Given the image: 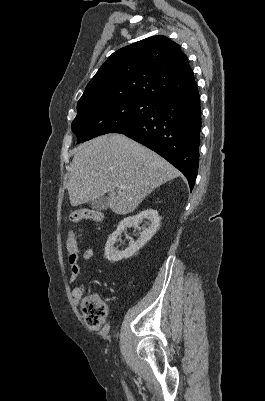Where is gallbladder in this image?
<instances>
[{
  "label": "gallbladder",
  "mask_w": 265,
  "mask_h": 401,
  "mask_svg": "<svg viewBox=\"0 0 265 401\" xmlns=\"http://www.w3.org/2000/svg\"><path fill=\"white\" fill-rule=\"evenodd\" d=\"M89 205L95 211H106L109 207L108 198L107 196H99V198H94V201H89Z\"/></svg>",
  "instance_id": "bac80fb5"
}]
</instances>
